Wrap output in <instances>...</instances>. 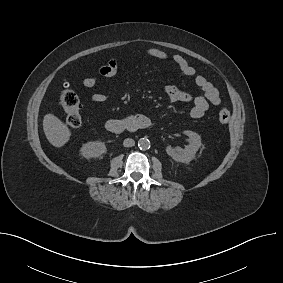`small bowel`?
<instances>
[{"mask_svg":"<svg viewBox=\"0 0 283 283\" xmlns=\"http://www.w3.org/2000/svg\"><path fill=\"white\" fill-rule=\"evenodd\" d=\"M138 55H144L160 61H171L179 70L187 77H195V83L202 92V95L192 97L187 91L173 85L164 87V93L172 102L192 103L190 109V116L192 118H201L211 105H219L221 102L218 89L204 76L196 75V70L188 61L179 54H169L158 48H146L135 51ZM119 66V59L117 57L110 58L105 64L98 69L99 76L86 77L81 84L85 88H92L96 86L101 78H111L116 75ZM109 93H95L91 95L90 101L93 104H101L109 99Z\"/></svg>","mask_w":283,"mask_h":283,"instance_id":"c3829d8e","label":"small bowel"}]
</instances>
